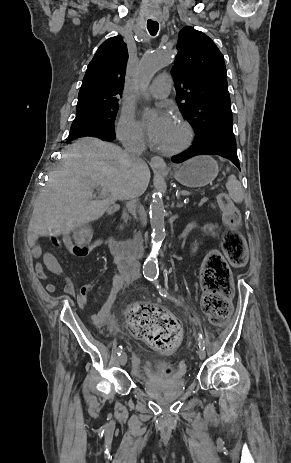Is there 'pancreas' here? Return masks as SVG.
Masks as SVG:
<instances>
[{
  "label": "pancreas",
  "mask_w": 291,
  "mask_h": 463,
  "mask_svg": "<svg viewBox=\"0 0 291 463\" xmlns=\"http://www.w3.org/2000/svg\"><path fill=\"white\" fill-rule=\"evenodd\" d=\"M129 215L127 213H124L122 218L125 222H127Z\"/></svg>",
  "instance_id": "obj_1"
}]
</instances>
